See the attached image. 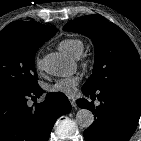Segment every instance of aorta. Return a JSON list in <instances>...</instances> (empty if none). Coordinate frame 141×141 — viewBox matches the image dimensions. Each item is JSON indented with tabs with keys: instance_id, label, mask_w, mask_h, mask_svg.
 Masks as SVG:
<instances>
[{
	"instance_id": "1",
	"label": "aorta",
	"mask_w": 141,
	"mask_h": 141,
	"mask_svg": "<svg viewBox=\"0 0 141 141\" xmlns=\"http://www.w3.org/2000/svg\"><path fill=\"white\" fill-rule=\"evenodd\" d=\"M43 69L46 73L66 77L73 72V65L63 56L56 53H49L43 58ZM94 115L88 109H80L76 114V123L82 128H88L93 124Z\"/></svg>"
}]
</instances>
